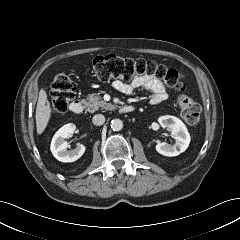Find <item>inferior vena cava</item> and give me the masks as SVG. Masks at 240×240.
Returning a JSON list of instances; mask_svg holds the SVG:
<instances>
[{
  "instance_id": "obj_1",
  "label": "inferior vena cava",
  "mask_w": 240,
  "mask_h": 240,
  "mask_svg": "<svg viewBox=\"0 0 240 240\" xmlns=\"http://www.w3.org/2000/svg\"><path fill=\"white\" fill-rule=\"evenodd\" d=\"M92 122L94 125L100 126V125L104 124L105 117L102 114H96L93 116Z\"/></svg>"
}]
</instances>
